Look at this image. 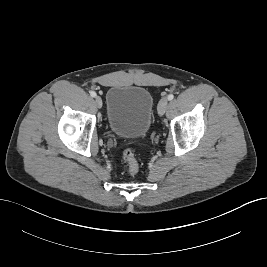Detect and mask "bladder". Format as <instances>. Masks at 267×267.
Returning <instances> with one entry per match:
<instances>
[{"label": "bladder", "mask_w": 267, "mask_h": 267, "mask_svg": "<svg viewBox=\"0 0 267 267\" xmlns=\"http://www.w3.org/2000/svg\"><path fill=\"white\" fill-rule=\"evenodd\" d=\"M106 122L110 131L123 138L148 134L153 117L152 94L140 86H112L106 95Z\"/></svg>", "instance_id": "obj_1"}]
</instances>
